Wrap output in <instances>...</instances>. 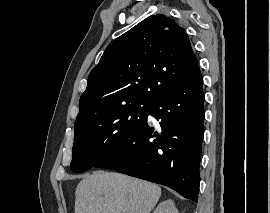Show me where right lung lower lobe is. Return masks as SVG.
I'll return each instance as SVG.
<instances>
[{"label":"right lung lower lobe","mask_w":270,"mask_h":213,"mask_svg":"<svg viewBox=\"0 0 270 213\" xmlns=\"http://www.w3.org/2000/svg\"><path fill=\"white\" fill-rule=\"evenodd\" d=\"M202 82L197 66L152 104L149 114L160 126L146 121L96 167L168 186L197 201L205 115Z\"/></svg>","instance_id":"right-lung-lower-lobe-1"}]
</instances>
